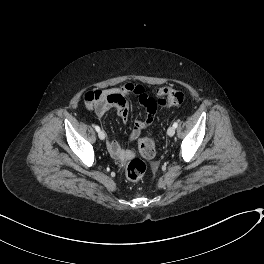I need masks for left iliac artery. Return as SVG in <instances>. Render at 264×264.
<instances>
[{
    "label": "left iliac artery",
    "mask_w": 264,
    "mask_h": 264,
    "mask_svg": "<svg viewBox=\"0 0 264 264\" xmlns=\"http://www.w3.org/2000/svg\"><path fill=\"white\" fill-rule=\"evenodd\" d=\"M177 126H178V123L174 122L173 127L177 128Z\"/></svg>",
    "instance_id": "left-iliac-artery-1"
}]
</instances>
